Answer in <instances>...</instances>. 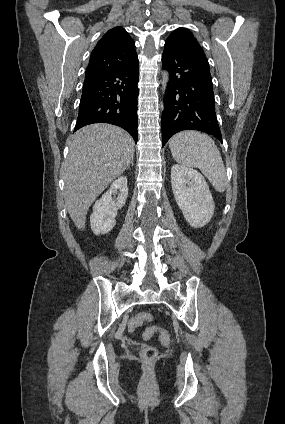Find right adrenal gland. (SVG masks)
Here are the masks:
<instances>
[{"instance_id": "2a0ac1e0", "label": "right adrenal gland", "mask_w": 285, "mask_h": 424, "mask_svg": "<svg viewBox=\"0 0 285 424\" xmlns=\"http://www.w3.org/2000/svg\"><path fill=\"white\" fill-rule=\"evenodd\" d=\"M130 164H131L132 166H134L133 158H132V160H131ZM129 167H130V165L128 166V168H129Z\"/></svg>"}]
</instances>
